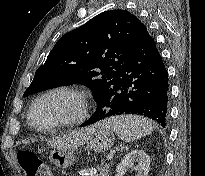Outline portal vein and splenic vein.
Segmentation results:
<instances>
[{
  "instance_id": "obj_1",
  "label": "portal vein and splenic vein",
  "mask_w": 205,
  "mask_h": 176,
  "mask_svg": "<svg viewBox=\"0 0 205 176\" xmlns=\"http://www.w3.org/2000/svg\"><path fill=\"white\" fill-rule=\"evenodd\" d=\"M113 154H114V151H111L110 154L108 155V160H112L113 159Z\"/></svg>"
}]
</instances>
